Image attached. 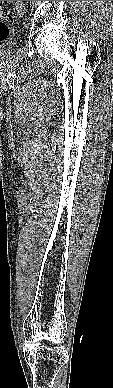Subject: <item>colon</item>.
Listing matches in <instances>:
<instances>
[{
    "label": "colon",
    "mask_w": 113,
    "mask_h": 388,
    "mask_svg": "<svg viewBox=\"0 0 113 388\" xmlns=\"http://www.w3.org/2000/svg\"><path fill=\"white\" fill-rule=\"evenodd\" d=\"M13 15L7 14L3 19H0V41L5 40L10 33L9 22L13 21Z\"/></svg>",
    "instance_id": "obj_1"
}]
</instances>
